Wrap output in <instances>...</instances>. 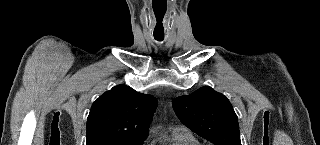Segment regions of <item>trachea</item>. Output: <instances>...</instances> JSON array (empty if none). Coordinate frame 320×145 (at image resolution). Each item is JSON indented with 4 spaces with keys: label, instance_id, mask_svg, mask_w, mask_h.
Listing matches in <instances>:
<instances>
[{
    "label": "trachea",
    "instance_id": "1",
    "mask_svg": "<svg viewBox=\"0 0 320 145\" xmlns=\"http://www.w3.org/2000/svg\"><path fill=\"white\" fill-rule=\"evenodd\" d=\"M154 38H155V40H157V41H162V40L164 39V37H156V36H154Z\"/></svg>",
    "mask_w": 320,
    "mask_h": 145
}]
</instances>
